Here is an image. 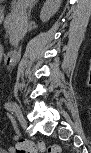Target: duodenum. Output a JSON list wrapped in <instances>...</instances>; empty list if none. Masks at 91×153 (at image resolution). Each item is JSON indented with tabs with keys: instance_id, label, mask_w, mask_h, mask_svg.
Masks as SVG:
<instances>
[{
	"instance_id": "1",
	"label": "duodenum",
	"mask_w": 91,
	"mask_h": 153,
	"mask_svg": "<svg viewBox=\"0 0 91 153\" xmlns=\"http://www.w3.org/2000/svg\"><path fill=\"white\" fill-rule=\"evenodd\" d=\"M18 56H19V50L12 49L6 53L5 62L7 64H11V63L15 62V60L18 58Z\"/></svg>"
}]
</instances>
